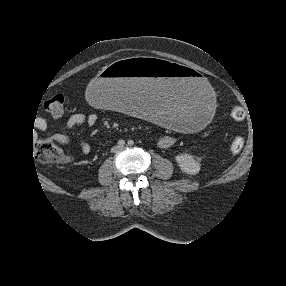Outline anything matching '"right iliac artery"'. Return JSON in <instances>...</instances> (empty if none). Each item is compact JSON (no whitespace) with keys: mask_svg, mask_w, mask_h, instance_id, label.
<instances>
[{"mask_svg":"<svg viewBox=\"0 0 286 286\" xmlns=\"http://www.w3.org/2000/svg\"><path fill=\"white\" fill-rule=\"evenodd\" d=\"M125 141L124 140H119L118 141V147H124Z\"/></svg>","mask_w":286,"mask_h":286,"instance_id":"82829eb1","label":"right iliac artery"}]
</instances>
